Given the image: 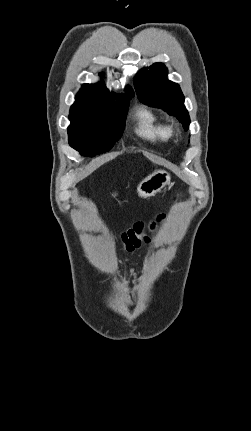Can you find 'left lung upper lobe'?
<instances>
[{
    "label": "left lung upper lobe",
    "mask_w": 251,
    "mask_h": 431,
    "mask_svg": "<svg viewBox=\"0 0 251 431\" xmlns=\"http://www.w3.org/2000/svg\"><path fill=\"white\" fill-rule=\"evenodd\" d=\"M167 72L162 63L140 70L134 83L137 95L144 104L162 108L175 116L187 131L190 118L184 106V96L179 85L167 79Z\"/></svg>",
    "instance_id": "1"
}]
</instances>
